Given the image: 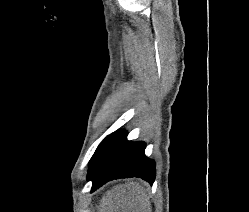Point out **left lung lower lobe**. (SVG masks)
Returning <instances> with one entry per match:
<instances>
[{
	"label": "left lung lower lobe",
	"mask_w": 249,
	"mask_h": 212,
	"mask_svg": "<svg viewBox=\"0 0 249 212\" xmlns=\"http://www.w3.org/2000/svg\"><path fill=\"white\" fill-rule=\"evenodd\" d=\"M127 132L118 130L107 136L90 160L87 179L91 180L94 192L105 183L126 177H140L153 184L155 162L144 154V142H131Z\"/></svg>",
	"instance_id": "left-lung-lower-lobe-1"
}]
</instances>
